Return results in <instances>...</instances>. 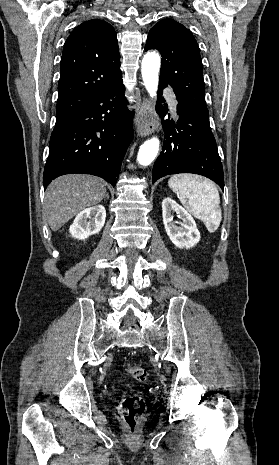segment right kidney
I'll use <instances>...</instances> for the list:
<instances>
[{"instance_id": "1", "label": "right kidney", "mask_w": 279, "mask_h": 465, "mask_svg": "<svg viewBox=\"0 0 279 465\" xmlns=\"http://www.w3.org/2000/svg\"><path fill=\"white\" fill-rule=\"evenodd\" d=\"M106 210L103 205L89 207L77 214L69 228L71 236L85 240L91 235L101 231L105 224Z\"/></svg>"}]
</instances>
